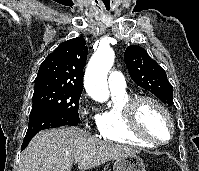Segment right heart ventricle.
Wrapping results in <instances>:
<instances>
[{"label":"right heart ventricle","instance_id":"obj_1","mask_svg":"<svg viewBox=\"0 0 199 171\" xmlns=\"http://www.w3.org/2000/svg\"><path fill=\"white\" fill-rule=\"evenodd\" d=\"M112 105L103 110L99 115L98 134L101 138L141 147H153L152 144L133 135L128 126L124 111L125 103L131 98L124 89L122 91H111Z\"/></svg>","mask_w":199,"mask_h":171}]
</instances>
